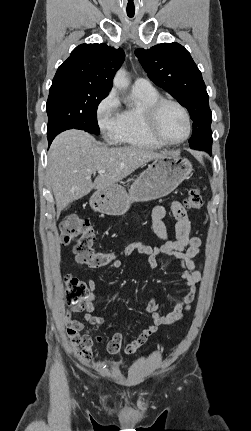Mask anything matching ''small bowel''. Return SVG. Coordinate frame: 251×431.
<instances>
[{
  "instance_id": "small-bowel-1",
  "label": "small bowel",
  "mask_w": 251,
  "mask_h": 431,
  "mask_svg": "<svg viewBox=\"0 0 251 431\" xmlns=\"http://www.w3.org/2000/svg\"><path fill=\"white\" fill-rule=\"evenodd\" d=\"M169 208L176 220L175 239L171 240L168 238L167 228L163 221L166 215V207L157 205L152 211V227L155 235L163 241V244L150 247L134 243L126 246L120 254L128 256L134 251L144 254L147 256V262L151 269L157 268L158 258L173 257L181 268V277L185 280L188 291L182 300L176 304L174 309L167 314L160 312L159 304L155 299L149 300L146 310L151 314V323L141 330L136 338L125 345L124 351L127 354L134 353L160 326L173 324L184 317L185 313L191 308L197 284L202 278L201 267H197L194 262V259L201 251V240L198 237L190 235L191 223L184 207L179 202L173 201L169 204ZM122 266L123 263L121 260H114L108 268L116 269ZM88 288L89 292L85 303L82 306H73L65 317L67 333L72 344L77 348L75 357L76 360H81L79 362L81 369H86L94 357V352L91 350L93 345L92 337L87 332L81 333L85 329V326L116 327L95 313L96 284L93 279L88 280ZM81 311H85L83 320L73 317V315L76 316ZM94 339L97 342L103 341L101 336H95ZM122 340V332H115L107 343L108 352L111 354L119 353L122 347Z\"/></svg>"
}]
</instances>
